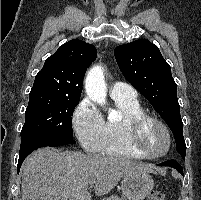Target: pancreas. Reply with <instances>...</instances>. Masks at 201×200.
<instances>
[{
  "label": "pancreas",
  "mask_w": 201,
  "mask_h": 200,
  "mask_svg": "<svg viewBox=\"0 0 201 200\" xmlns=\"http://www.w3.org/2000/svg\"><path fill=\"white\" fill-rule=\"evenodd\" d=\"M105 200H124L120 198L118 195H111L110 197L106 198Z\"/></svg>",
  "instance_id": "obj_1"
}]
</instances>
